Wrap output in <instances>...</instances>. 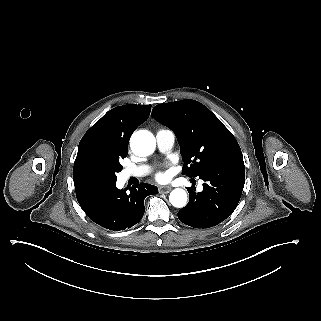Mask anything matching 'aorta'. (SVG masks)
<instances>
[{
    "label": "aorta",
    "instance_id": "aorta-1",
    "mask_svg": "<svg viewBox=\"0 0 321 321\" xmlns=\"http://www.w3.org/2000/svg\"><path fill=\"white\" fill-rule=\"evenodd\" d=\"M130 146L134 154L148 156L154 152L156 140L151 132L139 130L132 135ZM169 201L174 207H184L187 203L186 191L181 188L174 189L169 195Z\"/></svg>",
    "mask_w": 321,
    "mask_h": 321
}]
</instances>
